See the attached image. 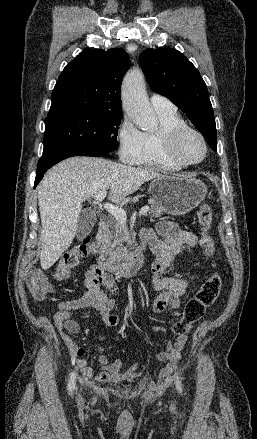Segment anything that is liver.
Segmentation results:
<instances>
[{
	"label": "liver",
	"instance_id": "obj_1",
	"mask_svg": "<svg viewBox=\"0 0 257 439\" xmlns=\"http://www.w3.org/2000/svg\"><path fill=\"white\" fill-rule=\"evenodd\" d=\"M161 176L150 168L94 157H72L54 166L38 189L42 269L53 266L71 245L86 199L110 189L108 200L120 203L145 182Z\"/></svg>",
	"mask_w": 257,
	"mask_h": 439
}]
</instances>
